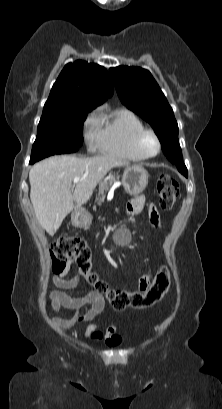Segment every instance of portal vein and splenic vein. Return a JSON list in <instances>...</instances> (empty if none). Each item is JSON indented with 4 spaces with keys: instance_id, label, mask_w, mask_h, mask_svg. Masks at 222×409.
Returning <instances> with one entry per match:
<instances>
[{
    "instance_id": "obj_1",
    "label": "portal vein and splenic vein",
    "mask_w": 222,
    "mask_h": 409,
    "mask_svg": "<svg viewBox=\"0 0 222 409\" xmlns=\"http://www.w3.org/2000/svg\"><path fill=\"white\" fill-rule=\"evenodd\" d=\"M80 180H81V178L76 177V178H74L73 182H74V184H75V183H78Z\"/></svg>"
}]
</instances>
